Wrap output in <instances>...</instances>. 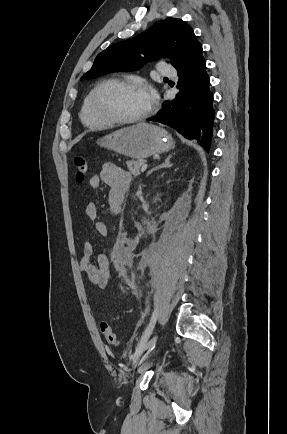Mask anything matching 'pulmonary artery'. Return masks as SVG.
<instances>
[{"label":"pulmonary artery","mask_w":287,"mask_h":434,"mask_svg":"<svg viewBox=\"0 0 287 434\" xmlns=\"http://www.w3.org/2000/svg\"><path fill=\"white\" fill-rule=\"evenodd\" d=\"M158 72L160 75L166 77H174L177 75L176 69L173 66L166 64H160Z\"/></svg>","instance_id":"e3ab8cb5"}]
</instances>
